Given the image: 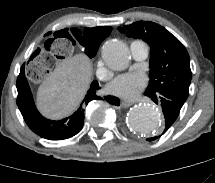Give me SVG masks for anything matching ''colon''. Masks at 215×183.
I'll return each mask as SVG.
<instances>
[{
    "label": "colon",
    "instance_id": "obj_1",
    "mask_svg": "<svg viewBox=\"0 0 215 183\" xmlns=\"http://www.w3.org/2000/svg\"><path fill=\"white\" fill-rule=\"evenodd\" d=\"M73 41L66 34H55L42 48L34 52L28 62V73L35 80H46L56 67L64 63L73 52Z\"/></svg>",
    "mask_w": 215,
    "mask_h": 183
}]
</instances>
